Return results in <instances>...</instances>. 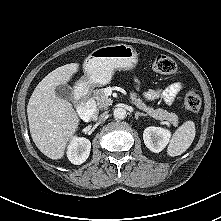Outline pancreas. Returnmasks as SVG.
Returning <instances> with one entry per match:
<instances>
[{
    "label": "pancreas",
    "instance_id": "cf45deb5",
    "mask_svg": "<svg viewBox=\"0 0 221 221\" xmlns=\"http://www.w3.org/2000/svg\"><path fill=\"white\" fill-rule=\"evenodd\" d=\"M93 97L100 109H107L108 106L112 105L113 101L105 94L104 88L96 89L93 93ZM130 97L134 101L133 103L136 107L143 110L146 115H149L157 120H166L173 126L178 125V116L175 113H169L168 111L160 108L153 109L152 107L147 106L136 92H130Z\"/></svg>",
    "mask_w": 221,
    "mask_h": 221
}]
</instances>
